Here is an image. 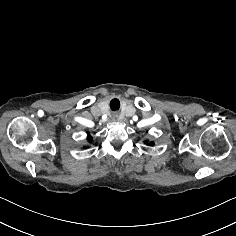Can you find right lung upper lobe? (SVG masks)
Instances as JSON below:
<instances>
[{
	"label": "right lung upper lobe",
	"instance_id": "cb5924a9",
	"mask_svg": "<svg viewBox=\"0 0 236 236\" xmlns=\"http://www.w3.org/2000/svg\"><path fill=\"white\" fill-rule=\"evenodd\" d=\"M87 139H88L89 142L92 141V138H91V136L89 134H88V138Z\"/></svg>",
	"mask_w": 236,
	"mask_h": 236
}]
</instances>
